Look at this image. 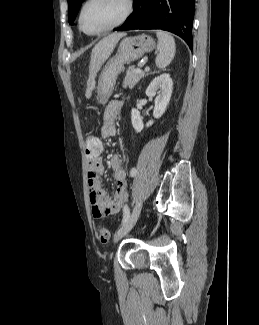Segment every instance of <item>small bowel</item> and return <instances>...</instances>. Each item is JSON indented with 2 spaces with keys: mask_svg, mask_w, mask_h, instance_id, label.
Returning <instances> with one entry per match:
<instances>
[{
  "mask_svg": "<svg viewBox=\"0 0 259 325\" xmlns=\"http://www.w3.org/2000/svg\"><path fill=\"white\" fill-rule=\"evenodd\" d=\"M122 107L123 102L121 100H112L108 103L103 114L100 137L97 138L106 139L115 135L116 121L120 115ZM103 150L104 144L102 150L86 152L89 200L91 204V212L95 218H101L118 213L128 200L127 173L123 159L119 154H114L110 158L116 186L114 195L109 197L106 190L102 188L99 176L104 170L101 159Z\"/></svg>",
  "mask_w": 259,
  "mask_h": 325,
  "instance_id": "1",
  "label": "small bowel"
}]
</instances>
